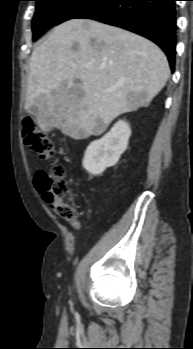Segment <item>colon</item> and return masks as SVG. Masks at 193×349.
I'll use <instances>...</instances> for the list:
<instances>
[{"instance_id": "1", "label": "colon", "mask_w": 193, "mask_h": 349, "mask_svg": "<svg viewBox=\"0 0 193 349\" xmlns=\"http://www.w3.org/2000/svg\"><path fill=\"white\" fill-rule=\"evenodd\" d=\"M22 135L25 144L41 159L55 161V147L52 139L38 128L33 118L23 119ZM35 185L53 211L76 227L77 205L68 187L64 168L61 165H54L49 171L38 172Z\"/></svg>"}]
</instances>
